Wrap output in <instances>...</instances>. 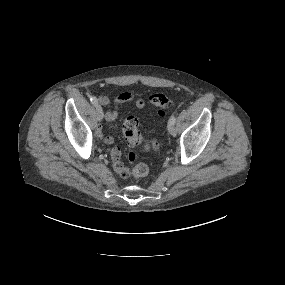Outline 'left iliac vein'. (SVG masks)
I'll return each mask as SVG.
<instances>
[{
  "mask_svg": "<svg viewBox=\"0 0 285 285\" xmlns=\"http://www.w3.org/2000/svg\"><path fill=\"white\" fill-rule=\"evenodd\" d=\"M168 131L171 135H173V136L176 135L177 129L175 127V123H171V122L168 123Z\"/></svg>",
  "mask_w": 285,
  "mask_h": 285,
  "instance_id": "1",
  "label": "left iliac vein"
}]
</instances>
